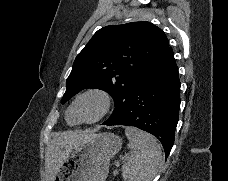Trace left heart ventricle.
I'll list each match as a JSON object with an SVG mask.
<instances>
[{"instance_id": "b2bd125f", "label": "left heart ventricle", "mask_w": 228, "mask_h": 181, "mask_svg": "<svg viewBox=\"0 0 228 181\" xmlns=\"http://www.w3.org/2000/svg\"><path fill=\"white\" fill-rule=\"evenodd\" d=\"M98 109V100L93 97H86L79 102V112L85 118H92Z\"/></svg>"}]
</instances>
